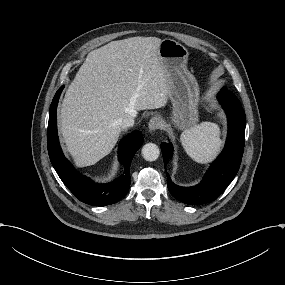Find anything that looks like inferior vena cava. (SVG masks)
Returning <instances> with one entry per match:
<instances>
[{
	"label": "inferior vena cava",
	"instance_id": "1",
	"mask_svg": "<svg viewBox=\"0 0 285 285\" xmlns=\"http://www.w3.org/2000/svg\"><path fill=\"white\" fill-rule=\"evenodd\" d=\"M137 115V111L133 110L131 113L124 115L118 120V125L125 129L134 125V118Z\"/></svg>",
	"mask_w": 285,
	"mask_h": 285
}]
</instances>
